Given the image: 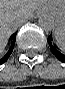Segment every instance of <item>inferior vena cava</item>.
I'll return each instance as SVG.
<instances>
[{
    "label": "inferior vena cava",
    "mask_w": 65,
    "mask_h": 89,
    "mask_svg": "<svg viewBox=\"0 0 65 89\" xmlns=\"http://www.w3.org/2000/svg\"><path fill=\"white\" fill-rule=\"evenodd\" d=\"M26 20H27V19H21V20L17 21V22L15 23V26L18 25V24H20V23H23V22L26 21Z\"/></svg>",
    "instance_id": "inferior-vena-cava-1"
}]
</instances>
